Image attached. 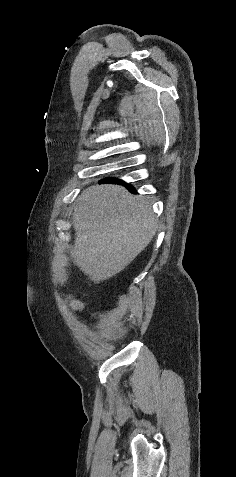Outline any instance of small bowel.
Listing matches in <instances>:
<instances>
[{"mask_svg": "<svg viewBox=\"0 0 236 477\" xmlns=\"http://www.w3.org/2000/svg\"><path fill=\"white\" fill-rule=\"evenodd\" d=\"M69 308L71 312L76 313V312H82L85 309V306L82 302L78 300H73L70 302Z\"/></svg>", "mask_w": 236, "mask_h": 477, "instance_id": "obj_1", "label": "small bowel"}]
</instances>
